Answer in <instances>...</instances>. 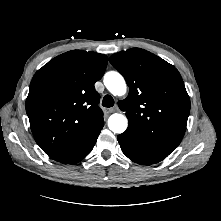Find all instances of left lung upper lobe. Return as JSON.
<instances>
[{
    "mask_svg": "<svg viewBox=\"0 0 221 221\" xmlns=\"http://www.w3.org/2000/svg\"><path fill=\"white\" fill-rule=\"evenodd\" d=\"M110 63L125 78L128 97L119 101L129 130L154 150L172 153L180 144L190 112V100L178 70L140 48L113 54Z\"/></svg>",
    "mask_w": 221,
    "mask_h": 221,
    "instance_id": "obj_1",
    "label": "left lung upper lobe"
}]
</instances>
